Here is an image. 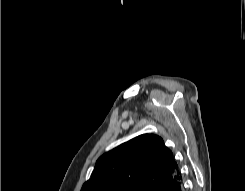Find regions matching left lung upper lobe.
I'll return each instance as SVG.
<instances>
[{
  "instance_id": "5c2ea615",
  "label": "left lung upper lobe",
  "mask_w": 245,
  "mask_h": 191,
  "mask_svg": "<svg viewBox=\"0 0 245 191\" xmlns=\"http://www.w3.org/2000/svg\"><path fill=\"white\" fill-rule=\"evenodd\" d=\"M176 167L160 136L142 134L100 156L81 191H157Z\"/></svg>"
}]
</instances>
